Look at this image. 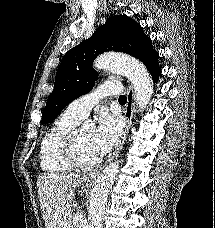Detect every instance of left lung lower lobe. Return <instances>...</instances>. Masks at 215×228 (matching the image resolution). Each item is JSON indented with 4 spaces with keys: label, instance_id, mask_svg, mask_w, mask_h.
<instances>
[{
    "label": "left lung lower lobe",
    "instance_id": "obj_1",
    "mask_svg": "<svg viewBox=\"0 0 215 228\" xmlns=\"http://www.w3.org/2000/svg\"><path fill=\"white\" fill-rule=\"evenodd\" d=\"M158 53L156 52L151 60L146 64L147 69L149 70L150 74L152 75V78L154 80V82L158 81V77L161 74V69L158 65Z\"/></svg>",
    "mask_w": 215,
    "mask_h": 228
}]
</instances>
